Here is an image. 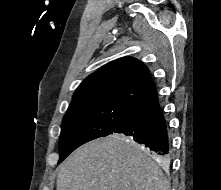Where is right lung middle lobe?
<instances>
[{
    "instance_id": "dd1d6c3e",
    "label": "right lung middle lobe",
    "mask_w": 221,
    "mask_h": 190,
    "mask_svg": "<svg viewBox=\"0 0 221 190\" xmlns=\"http://www.w3.org/2000/svg\"><path fill=\"white\" fill-rule=\"evenodd\" d=\"M133 110L132 107L112 102L69 107L62 121L59 163L80 145L112 134Z\"/></svg>"
}]
</instances>
